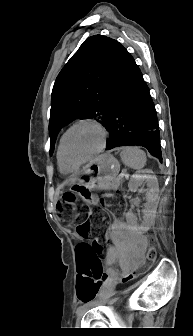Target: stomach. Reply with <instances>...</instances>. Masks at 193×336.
<instances>
[{
  "label": "stomach",
  "mask_w": 193,
  "mask_h": 336,
  "mask_svg": "<svg viewBox=\"0 0 193 336\" xmlns=\"http://www.w3.org/2000/svg\"><path fill=\"white\" fill-rule=\"evenodd\" d=\"M119 170V162L112 155H101L78 176L71 190L77 193L86 204L95 205L97 196L94 191L109 189V184L116 178Z\"/></svg>",
  "instance_id": "1"
}]
</instances>
